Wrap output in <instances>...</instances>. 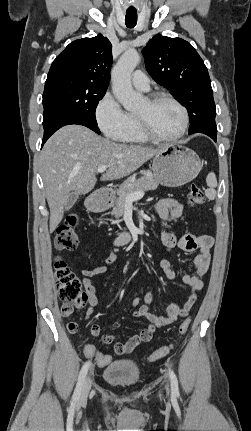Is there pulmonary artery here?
I'll list each match as a JSON object with an SVG mask.
<instances>
[{
  "label": "pulmonary artery",
  "mask_w": 251,
  "mask_h": 431,
  "mask_svg": "<svg viewBox=\"0 0 251 431\" xmlns=\"http://www.w3.org/2000/svg\"><path fill=\"white\" fill-rule=\"evenodd\" d=\"M132 84L135 88L148 91L149 90V79L148 77L140 70H137L132 75Z\"/></svg>",
  "instance_id": "pulmonary-artery-1"
}]
</instances>
